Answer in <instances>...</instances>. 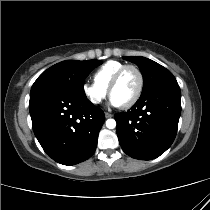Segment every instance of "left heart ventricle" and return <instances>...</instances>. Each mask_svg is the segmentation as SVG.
Returning <instances> with one entry per match:
<instances>
[{
    "mask_svg": "<svg viewBox=\"0 0 210 210\" xmlns=\"http://www.w3.org/2000/svg\"><path fill=\"white\" fill-rule=\"evenodd\" d=\"M139 77L135 70L127 69L121 76L117 86L112 91L113 97L120 105L130 101L137 92Z\"/></svg>",
    "mask_w": 210,
    "mask_h": 210,
    "instance_id": "obj_1",
    "label": "left heart ventricle"
}]
</instances>
